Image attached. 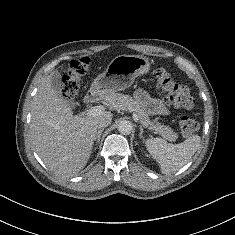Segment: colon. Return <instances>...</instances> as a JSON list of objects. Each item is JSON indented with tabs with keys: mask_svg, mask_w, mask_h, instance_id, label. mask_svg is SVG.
<instances>
[{
	"mask_svg": "<svg viewBox=\"0 0 235 235\" xmlns=\"http://www.w3.org/2000/svg\"><path fill=\"white\" fill-rule=\"evenodd\" d=\"M90 61L88 58H78L72 60L62 77L63 94L66 98L73 97L79 89L80 78L89 69ZM154 79L164 98L177 108L192 109L196 101L187 86L176 83L164 69H157L154 72ZM180 132L189 136L198 129V122L188 116L181 115L178 118Z\"/></svg>",
	"mask_w": 235,
	"mask_h": 235,
	"instance_id": "colon-1",
	"label": "colon"
}]
</instances>
